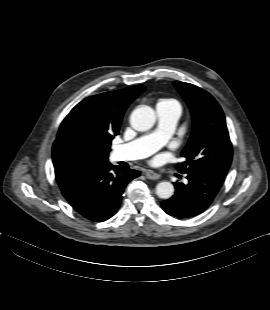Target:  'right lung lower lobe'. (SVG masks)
<instances>
[{"label":"right lung lower lobe","instance_id":"right-lung-lower-lobe-1","mask_svg":"<svg viewBox=\"0 0 270 310\" xmlns=\"http://www.w3.org/2000/svg\"><path fill=\"white\" fill-rule=\"evenodd\" d=\"M104 163L82 164L55 169L63 196L81 216L102 222L116 214L126 185L140 173Z\"/></svg>","mask_w":270,"mask_h":310}]
</instances>
